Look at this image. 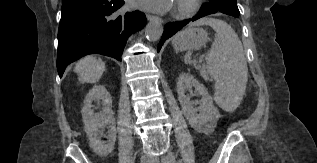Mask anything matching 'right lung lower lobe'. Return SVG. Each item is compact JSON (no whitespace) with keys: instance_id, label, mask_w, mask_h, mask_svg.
Returning <instances> with one entry per match:
<instances>
[{"instance_id":"1","label":"right lung lower lobe","mask_w":317,"mask_h":163,"mask_svg":"<svg viewBox=\"0 0 317 163\" xmlns=\"http://www.w3.org/2000/svg\"><path fill=\"white\" fill-rule=\"evenodd\" d=\"M123 5V0H81L62 6L57 54L60 78L67 65L87 54L121 61L127 38L146 24V16L138 10L120 12Z\"/></svg>"}]
</instances>
